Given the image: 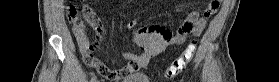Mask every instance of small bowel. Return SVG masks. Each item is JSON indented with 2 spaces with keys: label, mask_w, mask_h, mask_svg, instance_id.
Masks as SVG:
<instances>
[{
  "label": "small bowel",
  "mask_w": 279,
  "mask_h": 82,
  "mask_svg": "<svg viewBox=\"0 0 279 82\" xmlns=\"http://www.w3.org/2000/svg\"><path fill=\"white\" fill-rule=\"evenodd\" d=\"M220 7V4H208L203 10L192 11L188 14L184 22L176 29L175 32L162 26H144L138 27L135 32V40L137 45L142 49V53L134 54L132 52H123L119 55H110L108 59L111 63L127 61V65L119 70H110L106 65L97 60L91 51L92 45L86 34V28L83 23L80 25L73 24L72 32L77 40L79 49L83 55L84 62L92 68H95L100 75L109 80H118L123 76L135 73L138 69L145 67L149 61L164 53L169 47L183 44L187 37L191 34L200 35L206 26L207 19L214 15ZM182 7L176 9L181 11ZM128 27L134 29L137 27V22H129ZM97 41L101 40L105 34L104 26L93 27Z\"/></svg>",
  "instance_id": "small-bowel-1"
}]
</instances>
